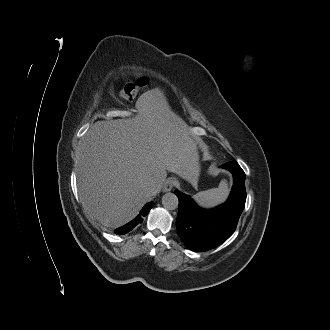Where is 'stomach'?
Instances as JSON below:
<instances>
[{
  "label": "stomach",
  "mask_w": 330,
  "mask_h": 330,
  "mask_svg": "<svg viewBox=\"0 0 330 330\" xmlns=\"http://www.w3.org/2000/svg\"><path fill=\"white\" fill-rule=\"evenodd\" d=\"M199 171H200L199 159H198V156L195 155L192 158L191 165H190V177L192 178V180L198 179Z\"/></svg>",
  "instance_id": "obj_1"
}]
</instances>
